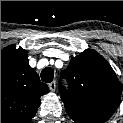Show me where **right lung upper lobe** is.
<instances>
[{
	"instance_id": "cb5924a9",
	"label": "right lung upper lobe",
	"mask_w": 123,
	"mask_h": 123,
	"mask_svg": "<svg viewBox=\"0 0 123 123\" xmlns=\"http://www.w3.org/2000/svg\"><path fill=\"white\" fill-rule=\"evenodd\" d=\"M49 88L29 66L27 51L1 50V123H29Z\"/></svg>"
}]
</instances>
